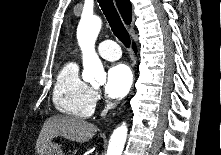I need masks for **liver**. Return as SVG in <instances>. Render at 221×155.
Listing matches in <instances>:
<instances>
[{
  "instance_id": "liver-1",
  "label": "liver",
  "mask_w": 221,
  "mask_h": 155,
  "mask_svg": "<svg viewBox=\"0 0 221 155\" xmlns=\"http://www.w3.org/2000/svg\"><path fill=\"white\" fill-rule=\"evenodd\" d=\"M97 132L94 124L71 116H52L48 118L36 141V153L41 155L54 138L61 136L79 143L89 141Z\"/></svg>"
}]
</instances>
